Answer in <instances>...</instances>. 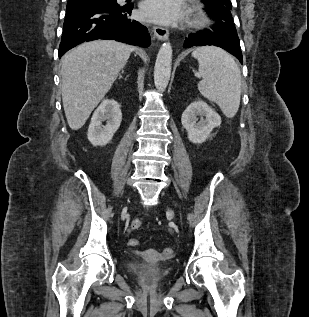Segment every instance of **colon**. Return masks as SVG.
Returning <instances> with one entry per match:
<instances>
[{
	"instance_id": "1",
	"label": "colon",
	"mask_w": 309,
	"mask_h": 317,
	"mask_svg": "<svg viewBox=\"0 0 309 317\" xmlns=\"http://www.w3.org/2000/svg\"><path fill=\"white\" fill-rule=\"evenodd\" d=\"M141 225H142V222H141V220H139V219H134V220L131 222V228H132L133 230L139 229V228L141 227ZM128 244H129L130 246H132V247H135V246H137V245L139 244V241H138L137 239H130V240L128 241ZM166 253H169V251H166Z\"/></svg>"
}]
</instances>
